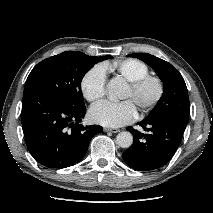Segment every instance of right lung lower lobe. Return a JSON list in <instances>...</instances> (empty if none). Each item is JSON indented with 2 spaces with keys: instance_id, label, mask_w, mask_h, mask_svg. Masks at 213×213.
Here are the masks:
<instances>
[{
  "instance_id": "right-lung-lower-lobe-1",
  "label": "right lung lower lobe",
  "mask_w": 213,
  "mask_h": 213,
  "mask_svg": "<svg viewBox=\"0 0 213 213\" xmlns=\"http://www.w3.org/2000/svg\"><path fill=\"white\" fill-rule=\"evenodd\" d=\"M86 108L72 110L39 91L24 93L22 128L31 155L48 168H66L86 154L91 138L102 133L99 125L80 124Z\"/></svg>"
}]
</instances>
